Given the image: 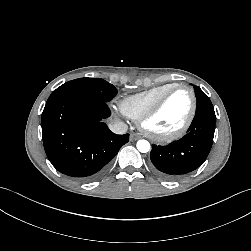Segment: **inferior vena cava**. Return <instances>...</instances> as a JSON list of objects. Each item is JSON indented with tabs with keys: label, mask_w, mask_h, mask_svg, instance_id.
I'll use <instances>...</instances> for the list:
<instances>
[{
	"label": "inferior vena cava",
	"mask_w": 251,
	"mask_h": 251,
	"mask_svg": "<svg viewBox=\"0 0 251 251\" xmlns=\"http://www.w3.org/2000/svg\"><path fill=\"white\" fill-rule=\"evenodd\" d=\"M109 129L115 134H125L128 126L122 121L114 120L109 123Z\"/></svg>",
	"instance_id": "1"
}]
</instances>
